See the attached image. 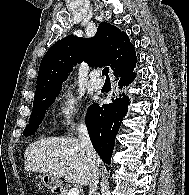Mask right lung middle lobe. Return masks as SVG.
Listing matches in <instances>:
<instances>
[{
  "label": "right lung middle lobe",
  "mask_w": 189,
  "mask_h": 195,
  "mask_svg": "<svg viewBox=\"0 0 189 195\" xmlns=\"http://www.w3.org/2000/svg\"><path fill=\"white\" fill-rule=\"evenodd\" d=\"M58 95L59 93L39 102L33 103V111L30 115L29 124L23 131L24 136H30L36 132L44 118L46 110L54 103Z\"/></svg>",
  "instance_id": "right-lung-middle-lobe-1"
}]
</instances>
